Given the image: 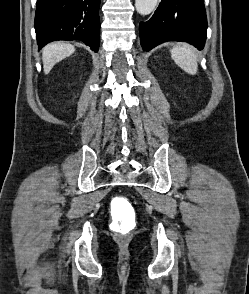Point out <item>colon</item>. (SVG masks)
<instances>
[{"instance_id": "colon-1", "label": "colon", "mask_w": 249, "mask_h": 294, "mask_svg": "<svg viewBox=\"0 0 249 294\" xmlns=\"http://www.w3.org/2000/svg\"><path fill=\"white\" fill-rule=\"evenodd\" d=\"M114 217L111 222V229L121 235H126L134 228V221L125 213L127 210V200L122 197H115L111 202Z\"/></svg>"}]
</instances>
